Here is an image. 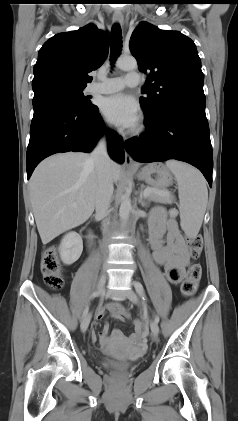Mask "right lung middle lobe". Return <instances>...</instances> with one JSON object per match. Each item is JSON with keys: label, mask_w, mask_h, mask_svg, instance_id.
<instances>
[{"label": "right lung middle lobe", "mask_w": 238, "mask_h": 421, "mask_svg": "<svg viewBox=\"0 0 238 421\" xmlns=\"http://www.w3.org/2000/svg\"><path fill=\"white\" fill-rule=\"evenodd\" d=\"M32 87L34 91V96L43 92H53L70 99L72 102L82 107L86 111H91L97 107L90 102L89 96H84L82 91L85 87L57 82L44 83Z\"/></svg>", "instance_id": "right-lung-middle-lobe-1"}]
</instances>
